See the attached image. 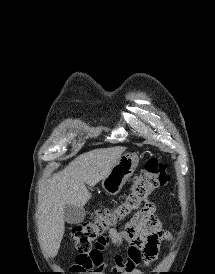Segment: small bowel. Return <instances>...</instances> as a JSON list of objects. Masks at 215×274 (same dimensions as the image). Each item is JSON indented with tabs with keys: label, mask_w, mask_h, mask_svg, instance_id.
<instances>
[{
	"label": "small bowel",
	"mask_w": 215,
	"mask_h": 274,
	"mask_svg": "<svg viewBox=\"0 0 215 274\" xmlns=\"http://www.w3.org/2000/svg\"><path fill=\"white\" fill-rule=\"evenodd\" d=\"M155 215L154 206L148 203L121 229L111 228L86 254H79L70 272L76 274H143L140 267L148 265L158 257L161 244L167 238ZM110 243L126 245L125 256L116 255L111 263L104 260V252Z\"/></svg>",
	"instance_id": "obj_1"
}]
</instances>
